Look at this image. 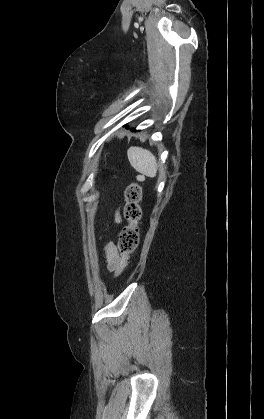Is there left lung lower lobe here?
Here are the masks:
<instances>
[{
  "label": "left lung lower lobe",
  "instance_id": "left-lung-lower-lobe-1",
  "mask_svg": "<svg viewBox=\"0 0 264 419\" xmlns=\"http://www.w3.org/2000/svg\"><path fill=\"white\" fill-rule=\"evenodd\" d=\"M132 131L136 132V130H135V129H132Z\"/></svg>",
  "mask_w": 264,
  "mask_h": 419
}]
</instances>
